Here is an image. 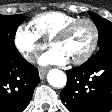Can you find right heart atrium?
Wrapping results in <instances>:
<instances>
[{"label":"right heart atrium","mask_w":112,"mask_h":112,"mask_svg":"<svg viewBox=\"0 0 112 112\" xmlns=\"http://www.w3.org/2000/svg\"><path fill=\"white\" fill-rule=\"evenodd\" d=\"M14 44L26 61H33L47 43L29 25L22 24L14 33Z\"/></svg>","instance_id":"obj_1"}]
</instances>
